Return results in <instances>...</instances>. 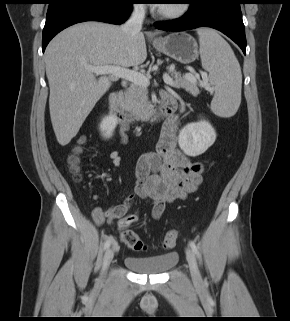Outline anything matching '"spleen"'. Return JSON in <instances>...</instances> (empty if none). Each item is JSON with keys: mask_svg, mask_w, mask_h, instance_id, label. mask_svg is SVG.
<instances>
[{"mask_svg": "<svg viewBox=\"0 0 290 321\" xmlns=\"http://www.w3.org/2000/svg\"><path fill=\"white\" fill-rule=\"evenodd\" d=\"M202 67L215 88L211 110L220 117L233 116L241 103L242 73L230 45L213 29H198Z\"/></svg>", "mask_w": 290, "mask_h": 321, "instance_id": "3e777b00", "label": "spleen"}]
</instances>
